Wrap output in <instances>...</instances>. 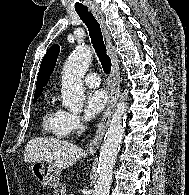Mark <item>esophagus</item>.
I'll use <instances>...</instances> for the list:
<instances>
[{
	"label": "esophagus",
	"instance_id": "1",
	"mask_svg": "<svg viewBox=\"0 0 189 195\" xmlns=\"http://www.w3.org/2000/svg\"><path fill=\"white\" fill-rule=\"evenodd\" d=\"M90 10L93 13L94 17L96 18V20L98 21V23L100 24L101 31L107 46V51L111 58V63H112L111 73H110V80H111L110 100L97 126L96 132L87 151L88 154H94L97 152V150L100 147L104 134L111 120L117 98L119 96L120 75H119V65H118L117 55L112 45L110 32L106 26L105 19L97 6L95 5L90 6Z\"/></svg>",
	"mask_w": 189,
	"mask_h": 195
}]
</instances>
